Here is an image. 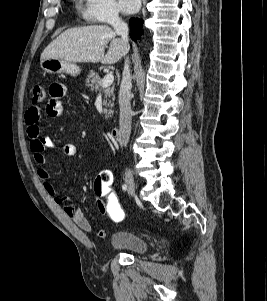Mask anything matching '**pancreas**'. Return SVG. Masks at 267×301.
Masks as SVG:
<instances>
[{"label":"pancreas","mask_w":267,"mask_h":301,"mask_svg":"<svg viewBox=\"0 0 267 301\" xmlns=\"http://www.w3.org/2000/svg\"><path fill=\"white\" fill-rule=\"evenodd\" d=\"M86 86L90 88L91 92L97 93L98 91H101L102 89V79L99 77L97 73L94 71H91L87 78H86ZM114 86H109L104 90V100L103 105L105 108L103 109V112L105 113V118L107 119L109 116H111L114 106Z\"/></svg>","instance_id":"pancreas-1"}]
</instances>
